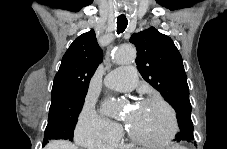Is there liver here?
<instances>
[{
	"mask_svg": "<svg viewBox=\"0 0 227 149\" xmlns=\"http://www.w3.org/2000/svg\"><path fill=\"white\" fill-rule=\"evenodd\" d=\"M45 149H78L77 146L68 141H53Z\"/></svg>",
	"mask_w": 227,
	"mask_h": 149,
	"instance_id": "1",
	"label": "liver"
}]
</instances>
